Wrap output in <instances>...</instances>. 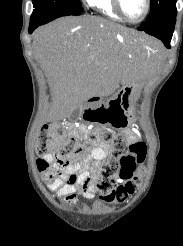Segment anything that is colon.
<instances>
[{
	"mask_svg": "<svg viewBox=\"0 0 183 246\" xmlns=\"http://www.w3.org/2000/svg\"><path fill=\"white\" fill-rule=\"evenodd\" d=\"M90 121L124 123L120 113H109L106 107H99L87 113ZM92 140H101L109 145V157L102 164L95 188L100 199L105 203H122L136 193L144 178L142 166L146 147L143 142L128 145L122 135L112 130L101 134H93ZM37 166L39 171L46 172L50 168L45 157L55 154L62 166L84 167L88 157L83 154L82 147L73 136H66L65 127L55 124L39 130L37 141Z\"/></svg>",
	"mask_w": 183,
	"mask_h": 246,
	"instance_id": "obj_1",
	"label": "colon"
}]
</instances>
